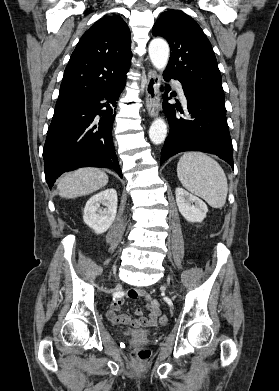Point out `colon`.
<instances>
[{"label":"colon","instance_id":"1","mask_svg":"<svg viewBox=\"0 0 279 391\" xmlns=\"http://www.w3.org/2000/svg\"><path fill=\"white\" fill-rule=\"evenodd\" d=\"M167 317L166 316H161L160 318V322L162 324H165L167 322ZM137 359L143 361L145 359H147L149 356H150V351L147 350V349H140V350H137L134 352L133 354Z\"/></svg>","mask_w":279,"mask_h":391}]
</instances>
